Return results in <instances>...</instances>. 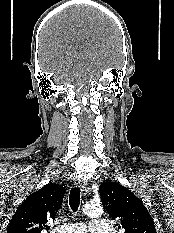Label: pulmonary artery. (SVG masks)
I'll list each match as a JSON object with an SVG mask.
<instances>
[{"label": "pulmonary artery", "mask_w": 174, "mask_h": 233, "mask_svg": "<svg viewBox=\"0 0 174 233\" xmlns=\"http://www.w3.org/2000/svg\"><path fill=\"white\" fill-rule=\"evenodd\" d=\"M87 229L91 233H110V224L103 219L90 221L88 228L82 222L67 223L57 226L52 233H86Z\"/></svg>", "instance_id": "e3ab8cb5"}]
</instances>
